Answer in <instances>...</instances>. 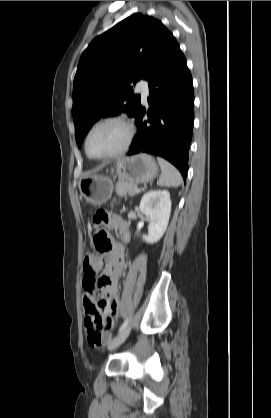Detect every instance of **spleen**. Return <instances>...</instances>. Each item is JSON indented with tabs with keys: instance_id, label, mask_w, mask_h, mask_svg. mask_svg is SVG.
<instances>
[{
	"instance_id": "spleen-1",
	"label": "spleen",
	"mask_w": 271,
	"mask_h": 418,
	"mask_svg": "<svg viewBox=\"0 0 271 418\" xmlns=\"http://www.w3.org/2000/svg\"><path fill=\"white\" fill-rule=\"evenodd\" d=\"M157 160L161 167V176L157 181V185L161 187L180 186L182 183V176L177 168L161 157H158Z\"/></svg>"
}]
</instances>
